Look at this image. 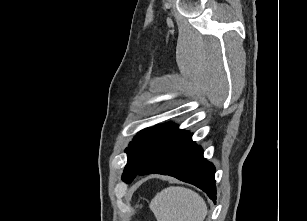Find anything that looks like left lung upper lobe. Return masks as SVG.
<instances>
[{
  "label": "left lung upper lobe",
  "instance_id": "left-lung-upper-lobe-1",
  "mask_svg": "<svg viewBox=\"0 0 307 221\" xmlns=\"http://www.w3.org/2000/svg\"><path fill=\"white\" fill-rule=\"evenodd\" d=\"M186 133L172 123L157 125L138 133L125 150L128 162L122 175L123 181L131 182L140 170Z\"/></svg>",
  "mask_w": 307,
  "mask_h": 221
}]
</instances>
